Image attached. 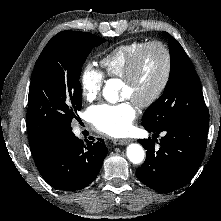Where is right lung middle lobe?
I'll list each match as a JSON object with an SVG mask.
<instances>
[{
	"instance_id": "obj_1",
	"label": "right lung middle lobe",
	"mask_w": 221,
	"mask_h": 221,
	"mask_svg": "<svg viewBox=\"0 0 221 221\" xmlns=\"http://www.w3.org/2000/svg\"><path fill=\"white\" fill-rule=\"evenodd\" d=\"M104 41L91 33L63 31L45 46L29 88L26 121L30 146L72 130V119L82 107L81 67L92 48Z\"/></svg>"
}]
</instances>
